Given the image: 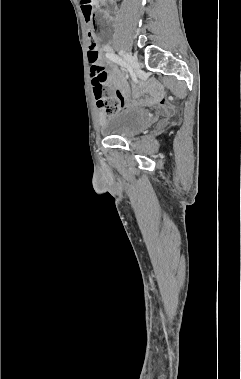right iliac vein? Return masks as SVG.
Returning a JSON list of instances; mask_svg holds the SVG:
<instances>
[{
    "instance_id": "1",
    "label": "right iliac vein",
    "mask_w": 241,
    "mask_h": 379,
    "mask_svg": "<svg viewBox=\"0 0 241 379\" xmlns=\"http://www.w3.org/2000/svg\"><path fill=\"white\" fill-rule=\"evenodd\" d=\"M119 54L123 57V59L127 62L129 68L136 73L139 70V64L137 60L132 57L130 54L126 53L123 50L119 51Z\"/></svg>"
}]
</instances>
